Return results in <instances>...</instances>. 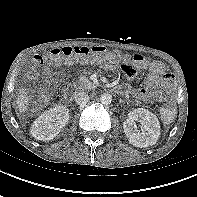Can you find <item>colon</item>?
<instances>
[{
  "instance_id": "colon-1",
  "label": "colon",
  "mask_w": 197,
  "mask_h": 197,
  "mask_svg": "<svg viewBox=\"0 0 197 197\" xmlns=\"http://www.w3.org/2000/svg\"><path fill=\"white\" fill-rule=\"evenodd\" d=\"M45 60L51 63H57L60 61L71 62L73 60L81 62L93 61L97 63H117L121 60V55L118 51L109 50L103 46H65L50 50ZM43 61L44 59L41 56H37L34 60L36 64H40ZM132 62L135 66L139 67L143 65L144 59L140 55H135ZM175 114V108L172 105H165L161 109V116L166 122H171L174 119Z\"/></svg>"
}]
</instances>
